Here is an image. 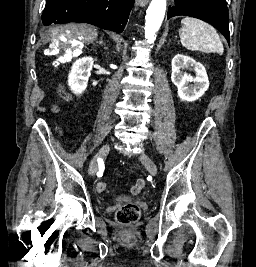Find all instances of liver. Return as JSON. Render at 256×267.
<instances>
[{"instance_id":"6515ba94","label":"liver","mask_w":256,"mask_h":267,"mask_svg":"<svg viewBox=\"0 0 256 267\" xmlns=\"http://www.w3.org/2000/svg\"><path fill=\"white\" fill-rule=\"evenodd\" d=\"M67 42H62L59 44L61 46V50L65 48L66 44H70V40H77V38H81L80 42L82 44H92L95 42L98 34L93 30V28H89L86 24H67V26H57L54 30H51V34H49L52 40H61V36H64Z\"/></svg>"}]
</instances>
